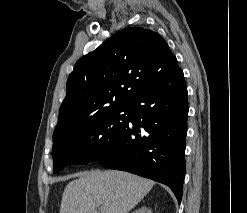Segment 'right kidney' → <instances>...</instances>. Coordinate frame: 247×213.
I'll return each mask as SVG.
<instances>
[{
  "instance_id": "1",
  "label": "right kidney",
  "mask_w": 247,
  "mask_h": 213,
  "mask_svg": "<svg viewBox=\"0 0 247 213\" xmlns=\"http://www.w3.org/2000/svg\"><path fill=\"white\" fill-rule=\"evenodd\" d=\"M132 213H152L151 209L146 207V206H142L140 208H138L137 210L133 211Z\"/></svg>"
}]
</instances>
